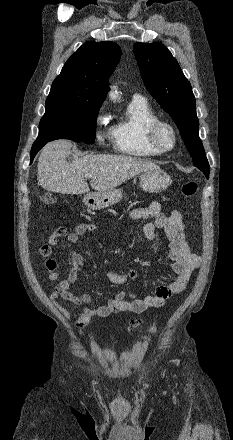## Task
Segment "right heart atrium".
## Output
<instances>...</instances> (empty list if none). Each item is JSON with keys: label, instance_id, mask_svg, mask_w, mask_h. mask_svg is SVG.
I'll use <instances>...</instances> for the list:
<instances>
[{"label": "right heart atrium", "instance_id": "d8ad5b80", "mask_svg": "<svg viewBox=\"0 0 233 440\" xmlns=\"http://www.w3.org/2000/svg\"><path fill=\"white\" fill-rule=\"evenodd\" d=\"M108 119H109L108 114H106L103 111V109L100 108L96 114V117H95V125L98 128V130L96 132V138L100 143H102L104 141V139L107 137V134L101 132L99 130V127L105 125L107 123Z\"/></svg>", "mask_w": 233, "mask_h": 440}]
</instances>
